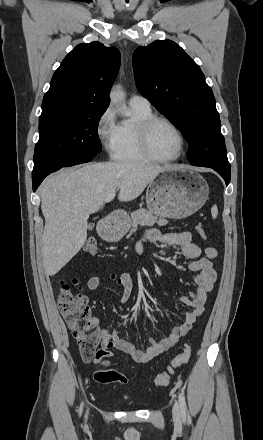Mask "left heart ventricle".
Returning <instances> with one entry per match:
<instances>
[{
	"mask_svg": "<svg viewBox=\"0 0 263 440\" xmlns=\"http://www.w3.org/2000/svg\"><path fill=\"white\" fill-rule=\"evenodd\" d=\"M149 144L154 155L168 158L178 153L180 140L176 132L168 124L158 122L150 131Z\"/></svg>",
	"mask_w": 263,
	"mask_h": 440,
	"instance_id": "b2bd125f",
	"label": "left heart ventricle"
}]
</instances>
